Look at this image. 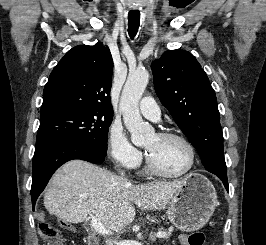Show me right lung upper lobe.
Segmentation results:
<instances>
[{"mask_svg":"<svg viewBox=\"0 0 266 245\" xmlns=\"http://www.w3.org/2000/svg\"><path fill=\"white\" fill-rule=\"evenodd\" d=\"M112 73L113 60L107 46L96 43L72 48L55 66L44 87L40 120L88 107L113 111Z\"/></svg>","mask_w":266,"mask_h":245,"instance_id":"cb5924a9","label":"right lung upper lobe"}]
</instances>
